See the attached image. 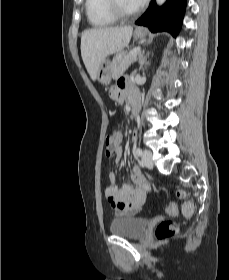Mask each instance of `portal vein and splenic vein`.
I'll return each mask as SVG.
<instances>
[{"label":"portal vein and splenic vein","mask_w":229,"mask_h":280,"mask_svg":"<svg viewBox=\"0 0 229 280\" xmlns=\"http://www.w3.org/2000/svg\"><path fill=\"white\" fill-rule=\"evenodd\" d=\"M140 51H141V49H140L139 47L134 48L133 50L130 51V53H129V55H128V58H129L130 56L136 55V54L139 53Z\"/></svg>","instance_id":"1"}]
</instances>
